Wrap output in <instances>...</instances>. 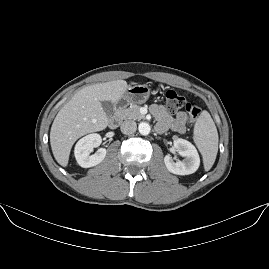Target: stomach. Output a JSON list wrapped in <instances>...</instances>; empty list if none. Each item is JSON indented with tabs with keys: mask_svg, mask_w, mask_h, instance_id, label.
Listing matches in <instances>:
<instances>
[{
	"mask_svg": "<svg viewBox=\"0 0 269 269\" xmlns=\"http://www.w3.org/2000/svg\"><path fill=\"white\" fill-rule=\"evenodd\" d=\"M149 97V89L146 85L129 86L128 89L122 94V104L120 107H125L129 104L144 103Z\"/></svg>",
	"mask_w": 269,
	"mask_h": 269,
	"instance_id": "1",
	"label": "stomach"
}]
</instances>
